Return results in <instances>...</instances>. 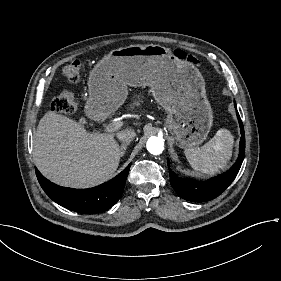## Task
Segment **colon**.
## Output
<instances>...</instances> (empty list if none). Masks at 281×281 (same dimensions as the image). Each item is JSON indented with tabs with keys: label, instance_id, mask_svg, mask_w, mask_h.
I'll list each match as a JSON object with an SVG mask.
<instances>
[{
	"label": "colon",
	"instance_id": "obj_1",
	"mask_svg": "<svg viewBox=\"0 0 281 281\" xmlns=\"http://www.w3.org/2000/svg\"><path fill=\"white\" fill-rule=\"evenodd\" d=\"M177 57L181 60L196 62L198 59L195 56L188 55L185 51H178ZM82 74V63L79 60H74L62 70L63 77L70 82H76ZM77 102L74 94L71 91H62L53 100V111L55 113L72 114L76 111Z\"/></svg>",
	"mask_w": 281,
	"mask_h": 281
}]
</instances>
